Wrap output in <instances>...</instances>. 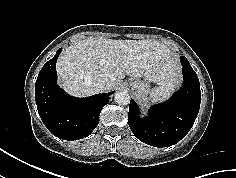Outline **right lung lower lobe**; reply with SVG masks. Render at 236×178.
Listing matches in <instances>:
<instances>
[{"label": "right lung lower lobe", "mask_w": 236, "mask_h": 178, "mask_svg": "<svg viewBox=\"0 0 236 178\" xmlns=\"http://www.w3.org/2000/svg\"><path fill=\"white\" fill-rule=\"evenodd\" d=\"M61 52L46 62L35 84L38 113L47 129L56 137L68 141L91 134L99 123L100 112L114 92L75 98L56 85V62Z\"/></svg>", "instance_id": "right-lung-lower-lobe-1"}]
</instances>
